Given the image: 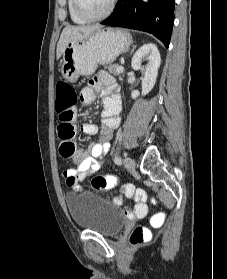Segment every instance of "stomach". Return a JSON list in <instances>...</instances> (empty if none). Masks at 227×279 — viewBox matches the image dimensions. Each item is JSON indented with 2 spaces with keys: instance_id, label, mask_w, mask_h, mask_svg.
Here are the masks:
<instances>
[{
  "instance_id": "0dacf381",
  "label": "stomach",
  "mask_w": 227,
  "mask_h": 279,
  "mask_svg": "<svg viewBox=\"0 0 227 279\" xmlns=\"http://www.w3.org/2000/svg\"><path fill=\"white\" fill-rule=\"evenodd\" d=\"M132 44L131 36L120 29H99L88 37L69 42L64 49L60 73L68 82L81 75L93 74L98 64L112 63L126 53Z\"/></svg>"
}]
</instances>
